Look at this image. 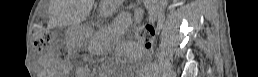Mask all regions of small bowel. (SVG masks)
<instances>
[{
  "label": "small bowel",
  "mask_w": 258,
  "mask_h": 77,
  "mask_svg": "<svg viewBox=\"0 0 258 77\" xmlns=\"http://www.w3.org/2000/svg\"><path fill=\"white\" fill-rule=\"evenodd\" d=\"M144 69H145V73H147V74L151 73L150 71H148V69H149L148 66H144Z\"/></svg>",
  "instance_id": "small-bowel-1"
}]
</instances>
